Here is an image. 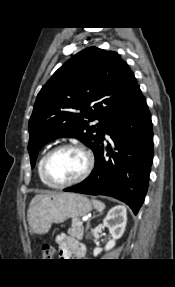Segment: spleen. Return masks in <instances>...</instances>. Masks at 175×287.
Returning <instances> with one entry per match:
<instances>
[{"mask_svg": "<svg viewBox=\"0 0 175 287\" xmlns=\"http://www.w3.org/2000/svg\"><path fill=\"white\" fill-rule=\"evenodd\" d=\"M92 203L98 211H102L105 208V204L99 200L92 199Z\"/></svg>", "mask_w": 175, "mask_h": 287, "instance_id": "3e777b00", "label": "spleen"}]
</instances>
